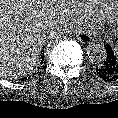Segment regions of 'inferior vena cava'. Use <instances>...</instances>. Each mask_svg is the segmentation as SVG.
<instances>
[{"label": "inferior vena cava", "mask_w": 118, "mask_h": 118, "mask_svg": "<svg viewBox=\"0 0 118 118\" xmlns=\"http://www.w3.org/2000/svg\"><path fill=\"white\" fill-rule=\"evenodd\" d=\"M60 28H61V26L54 25V26L52 27V30H53L54 32H59Z\"/></svg>", "instance_id": "inferior-vena-cava-1"}]
</instances>
